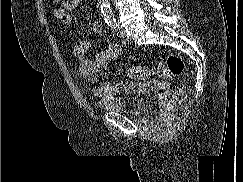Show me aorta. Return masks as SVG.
Returning <instances> with one entry per match:
<instances>
[{
  "instance_id": "aorta-1",
  "label": "aorta",
  "mask_w": 243,
  "mask_h": 182,
  "mask_svg": "<svg viewBox=\"0 0 243 182\" xmlns=\"http://www.w3.org/2000/svg\"><path fill=\"white\" fill-rule=\"evenodd\" d=\"M98 4L101 9V13L105 20H112L114 18L112 9L110 7L109 0H98Z\"/></svg>"
}]
</instances>
